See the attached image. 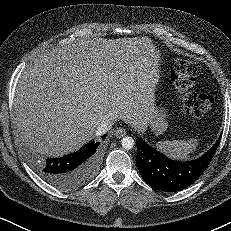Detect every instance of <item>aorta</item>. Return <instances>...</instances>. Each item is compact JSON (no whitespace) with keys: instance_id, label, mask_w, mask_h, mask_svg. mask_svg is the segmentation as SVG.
<instances>
[{"instance_id":"obj_1","label":"aorta","mask_w":231,"mask_h":231,"mask_svg":"<svg viewBox=\"0 0 231 231\" xmlns=\"http://www.w3.org/2000/svg\"><path fill=\"white\" fill-rule=\"evenodd\" d=\"M134 144V139L129 136H126L121 140V145L126 150L132 149L134 147Z\"/></svg>"}]
</instances>
